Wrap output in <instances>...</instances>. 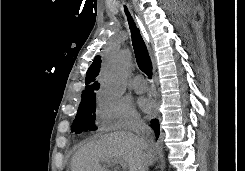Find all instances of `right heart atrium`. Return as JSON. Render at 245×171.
I'll list each match as a JSON object with an SVG mask.
<instances>
[{
    "instance_id": "right-heart-atrium-1",
    "label": "right heart atrium",
    "mask_w": 245,
    "mask_h": 171,
    "mask_svg": "<svg viewBox=\"0 0 245 171\" xmlns=\"http://www.w3.org/2000/svg\"><path fill=\"white\" fill-rule=\"evenodd\" d=\"M96 124L101 131L135 130L142 121L132 105L109 92L101 91L96 102Z\"/></svg>"
}]
</instances>
